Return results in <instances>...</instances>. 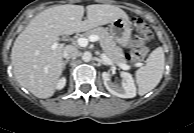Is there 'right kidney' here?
Masks as SVG:
<instances>
[{
    "mask_svg": "<svg viewBox=\"0 0 194 133\" xmlns=\"http://www.w3.org/2000/svg\"><path fill=\"white\" fill-rule=\"evenodd\" d=\"M65 84H66V79L63 77L58 81L56 88L60 90L65 86Z\"/></svg>",
    "mask_w": 194,
    "mask_h": 133,
    "instance_id": "right-kidney-1",
    "label": "right kidney"
}]
</instances>
